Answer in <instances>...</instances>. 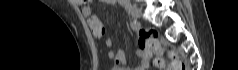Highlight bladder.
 Returning a JSON list of instances; mask_svg holds the SVG:
<instances>
[{"label": "bladder", "mask_w": 238, "mask_h": 70, "mask_svg": "<svg viewBox=\"0 0 238 70\" xmlns=\"http://www.w3.org/2000/svg\"><path fill=\"white\" fill-rule=\"evenodd\" d=\"M112 70H118V69H116V68H113Z\"/></svg>", "instance_id": "obj_1"}]
</instances>
